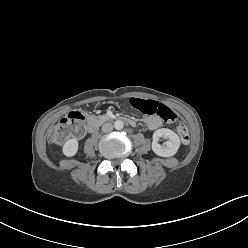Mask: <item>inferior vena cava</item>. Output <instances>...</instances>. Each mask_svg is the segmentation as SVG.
Listing matches in <instances>:
<instances>
[{
  "instance_id": "602c4592",
  "label": "inferior vena cava",
  "mask_w": 248,
  "mask_h": 248,
  "mask_svg": "<svg viewBox=\"0 0 248 248\" xmlns=\"http://www.w3.org/2000/svg\"><path fill=\"white\" fill-rule=\"evenodd\" d=\"M113 130V125L111 123H105L102 125V131L107 133Z\"/></svg>"
}]
</instances>
